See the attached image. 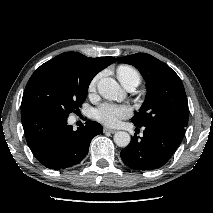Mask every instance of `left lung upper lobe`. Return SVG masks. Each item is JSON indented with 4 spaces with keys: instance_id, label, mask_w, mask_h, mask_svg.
<instances>
[{
    "instance_id": "obj_1",
    "label": "left lung upper lobe",
    "mask_w": 213,
    "mask_h": 213,
    "mask_svg": "<svg viewBox=\"0 0 213 213\" xmlns=\"http://www.w3.org/2000/svg\"><path fill=\"white\" fill-rule=\"evenodd\" d=\"M117 60L136 67L148 87L147 99L132 122L138 126H171L185 132L188 101L179 76L167 64L146 53Z\"/></svg>"
}]
</instances>
